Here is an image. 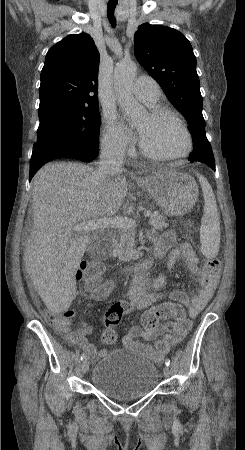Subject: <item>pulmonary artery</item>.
I'll list each match as a JSON object with an SVG mask.
<instances>
[{"label": "pulmonary artery", "mask_w": 245, "mask_h": 450, "mask_svg": "<svg viewBox=\"0 0 245 450\" xmlns=\"http://www.w3.org/2000/svg\"><path fill=\"white\" fill-rule=\"evenodd\" d=\"M130 91L135 98L150 106L155 105L161 96L159 85L149 76H143L136 79L132 84Z\"/></svg>", "instance_id": "obj_1"}]
</instances>
